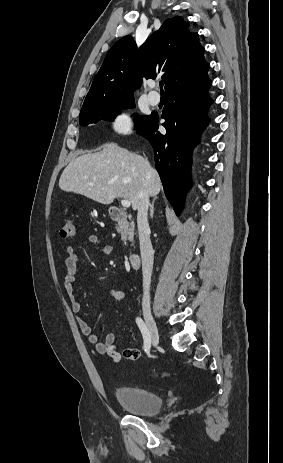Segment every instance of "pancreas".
Here are the masks:
<instances>
[{
  "mask_svg": "<svg viewBox=\"0 0 283 463\" xmlns=\"http://www.w3.org/2000/svg\"><path fill=\"white\" fill-rule=\"evenodd\" d=\"M117 232L121 234V239L123 242L127 240L132 241L134 237V225L125 222L123 224H119L117 227Z\"/></svg>",
  "mask_w": 283,
  "mask_h": 463,
  "instance_id": "pancreas-1",
  "label": "pancreas"
}]
</instances>
